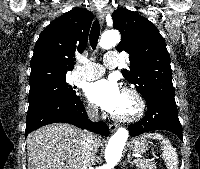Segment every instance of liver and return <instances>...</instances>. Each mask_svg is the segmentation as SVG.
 <instances>
[{
	"instance_id": "liver-1",
	"label": "liver",
	"mask_w": 200,
	"mask_h": 169,
	"mask_svg": "<svg viewBox=\"0 0 200 169\" xmlns=\"http://www.w3.org/2000/svg\"><path fill=\"white\" fill-rule=\"evenodd\" d=\"M84 132L72 125L55 123L28 135V169H79ZM95 150L101 138L92 135Z\"/></svg>"
}]
</instances>
